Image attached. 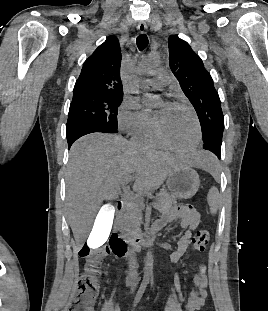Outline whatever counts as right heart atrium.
Returning a JSON list of instances; mask_svg holds the SVG:
<instances>
[{"mask_svg": "<svg viewBox=\"0 0 268 311\" xmlns=\"http://www.w3.org/2000/svg\"><path fill=\"white\" fill-rule=\"evenodd\" d=\"M152 118L136 98L123 101L118 113V127L127 134L134 135L150 126Z\"/></svg>", "mask_w": 268, "mask_h": 311, "instance_id": "obj_1", "label": "right heart atrium"}]
</instances>
